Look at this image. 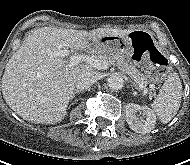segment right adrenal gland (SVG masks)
<instances>
[{
  "label": "right adrenal gland",
  "mask_w": 190,
  "mask_h": 165,
  "mask_svg": "<svg viewBox=\"0 0 190 165\" xmlns=\"http://www.w3.org/2000/svg\"><path fill=\"white\" fill-rule=\"evenodd\" d=\"M80 94V93H83V91H81V90H78V89H75L74 91H73V94H72V96H71V99H73L74 97H75V94ZM73 104H76V101L73 103Z\"/></svg>",
  "instance_id": "1"
}]
</instances>
